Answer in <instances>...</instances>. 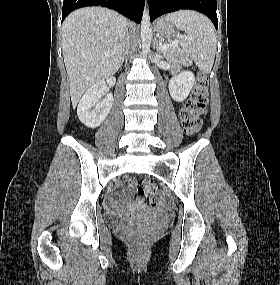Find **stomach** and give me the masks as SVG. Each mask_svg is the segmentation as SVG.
I'll use <instances>...</instances> for the list:
<instances>
[{
    "instance_id": "stomach-1",
    "label": "stomach",
    "mask_w": 280,
    "mask_h": 285,
    "mask_svg": "<svg viewBox=\"0 0 280 285\" xmlns=\"http://www.w3.org/2000/svg\"><path fill=\"white\" fill-rule=\"evenodd\" d=\"M155 30L160 34L162 38L179 36L177 27L174 24L168 22L166 19L158 20L155 25Z\"/></svg>"
}]
</instances>
